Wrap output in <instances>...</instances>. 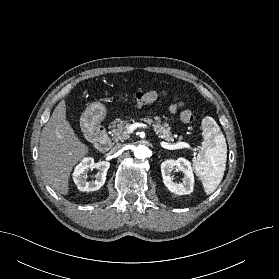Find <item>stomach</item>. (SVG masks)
Here are the masks:
<instances>
[{
  "mask_svg": "<svg viewBox=\"0 0 279 279\" xmlns=\"http://www.w3.org/2000/svg\"><path fill=\"white\" fill-rule=\"evenodd\" d=\"M106 116V107L99 103H92L83 113L82 122L86 128L98 126Z\"/></svg>",
  "mask_w": 279,
  "mask_h": 279,
  "instance_id": "stomach-1",
  "label": "stomach"
}]
</instances>
